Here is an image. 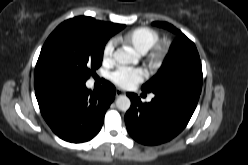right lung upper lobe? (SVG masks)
<instances>
[{
	"label": "right lung upper lobe",
	"mask_w": 248,
	"mask_h": 165,
	"mask_svg": "<svg viewBox=\"0 0 248 165\" xmlns=\"http://www.w3.org/2000/svg\"><path fill=\"white\" fill-rule=\"evenodd\" d=\"M67 21L79 24L80 26L87 28L100 35L109 34V33L115 34L125 27V25L122 24L98 21L92 17H87V16H79L69 19ZM44 84L45 82H34L35 91L39 90Z\"/></svg>",
	"instance_id": "obj_1"
}]
</instances>
